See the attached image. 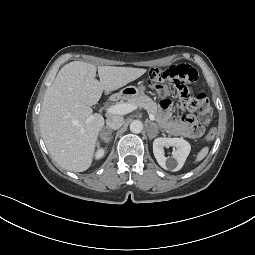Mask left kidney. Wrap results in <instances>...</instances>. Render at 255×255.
I'll return each instance as SVG.
<instances>
[{
    "instance_id": "1",
    "label": "left kidney",
    "mask_w": 255,
    "mask_h": 255,
    "mask_svg": "<svg viewBox=\"0 0 255 255\" xmlns=\"http://www.w3.org/2000/svg\"><path fill=\"white\" fill-rule=\"evenodd\" d=\"M175 147L176 150L170 158L164 154V147ZM191 150L190 144L183 138H156L153 142V153L158 164L167 170H180Z\"/></svg>"
}]
</instances>
